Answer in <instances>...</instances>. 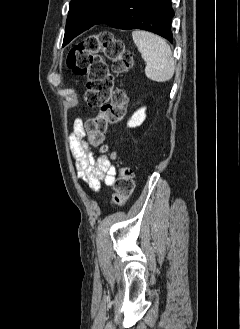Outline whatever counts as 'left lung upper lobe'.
<instances>
[{"mask_svg": "<svg viewBox=\"0 0 240 329\" xmlns=\"http://www.w3.org/2000/svg\"><path fill=\"white\" fill-rule=\"evenodd\" d=\"M120 0H71L63 46L101 20Z\"/></svg>", "mask_w": 240, "mask_h": 329, "instance_id": "1", "label": "left lung upper lobe"}]
</instances>
